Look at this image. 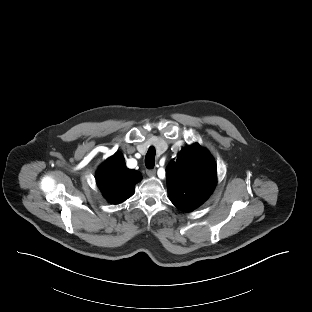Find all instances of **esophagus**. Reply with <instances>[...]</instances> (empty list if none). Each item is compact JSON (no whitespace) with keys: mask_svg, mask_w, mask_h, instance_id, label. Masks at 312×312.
<instances>
[{"mask_svg":"<svg viewBox=\"0 0 312 312\" xmlns=\"http://www.w3.org/2000/svg\"><path fill=\"white\" fill-rule=\"evenodd\" d=\"M146 174H147L149 177H153V176L156 175V170L147 169V170H146Z\"/></svg>","mask_w":312,"mask_h":312,"instance_id":"esophagus-1","label":"esophagus"}]
</instances>
